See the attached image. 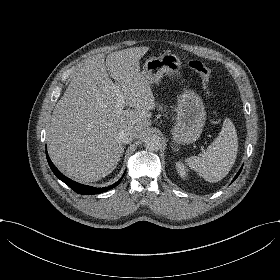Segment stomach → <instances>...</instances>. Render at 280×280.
Here are the masks:
<instances>
[{
	"instance_id": "1",
	"label": "stomach",
	"mask_w": 280,
	"mask_h": 280,
	"mask_svg": "<svg viewBox=\"0 0 280 280\" xmlns=\"http://www.w3.org/2000/svg\"><path fill=\"white\" fill-rule=\"evenodd\" d=\"M181 61L172 53L151 57L143 65L142 74L148 83H158L165 75L178 74ZM176 117L172 128L176 144H190L198 140L206 121V111L202 99L193 90L184 89L178 96Z\"/></svg>"
}]
</instances>
